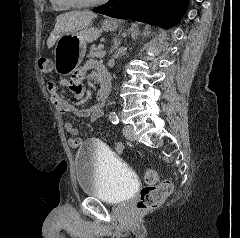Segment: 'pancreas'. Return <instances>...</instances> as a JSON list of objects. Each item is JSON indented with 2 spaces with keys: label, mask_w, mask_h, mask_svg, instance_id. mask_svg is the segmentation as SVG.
I'll use <instances>...</instances> for the list:
<instances>
[{
  "label": "pancreas",
  "mask_w": 240,
  "mask_h": 238,
  "mask_svg": "<svg viewBox=\"0 0 240 238\" xmlns=\"http://www.w3.org/2000/svg\"><path fill=\"white\" fill-rule=\"evenodd\" d=\"M101 51L96 48V46L92 45L89 51V57L91 58H101Z\"/></svg>",
  "instance_id": "1"
}]
</instances>
